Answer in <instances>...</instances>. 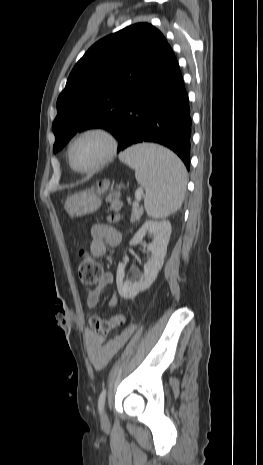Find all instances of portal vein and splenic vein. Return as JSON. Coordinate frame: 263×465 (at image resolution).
Here are the masks:
<instances>
[{"instance_id": "18ae733b", "label": "portal vein and splenic vein", "mask_w": 263, "mask_h": 465, "mask_svg": "<svg viewBox=\"0 0 263 465\" xmlns=\"http://www.w3.org/2000/svg\"><path fill=\"white\" fill-rule=\"evenodd\" d=\"M142 194H143L142 189H138V190L136 191L135 197H136V200H137V201L133 202V206H138V202L141 200Z\"/></svg>"}]
</instances>
